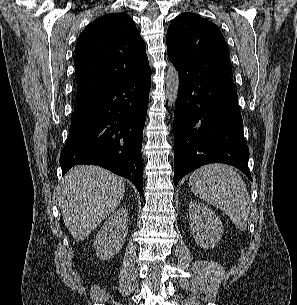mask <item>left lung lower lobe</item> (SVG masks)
Segmentation results:
<instances>
[{"instance_id":"obj_1","label":"left lung lower lobe","mask_w":297,"mask_h":305,"mask_svg":"<svg viewBox=\"0 0 297 305\" xmlns=\"http://www.w3.org/2000/svg\"><path fill=\"white\" fill-rule=\"evenodd\" d=\"M174 113V184L208 163H225L251 181L249 149L231 76H194L183 68Z\"/></svg>"}]
</instances>
